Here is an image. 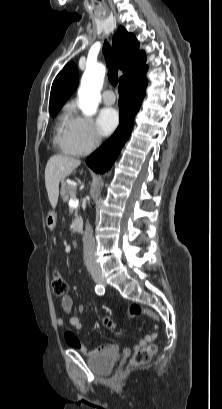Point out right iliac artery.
Wrapping results in <instances>:
<instances>
[{
  "label": "right iliac artery",
  "instance_id": "right-iliac-artery-1",
  "mask_svg": "<svg viewBox=\"0 0 222 409\" xmlns=\"http://www.w3.org/2000/svg\"><path fill=\"white\" fill-rule=\"evenodd\" d=\"M95 292H96V294H98V295H104V293H105V288H104V286H102V285H96V286H95Z\"/></svg>",
  "mask_w": 222,
  "mask_h": 409
}]
</instances>
